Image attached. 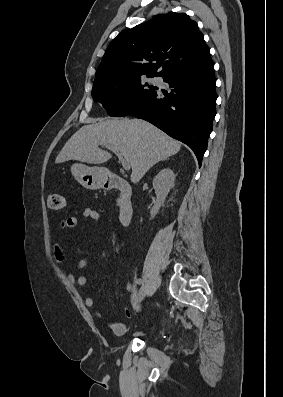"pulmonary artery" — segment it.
Masks as SVG:
<instances>
[{
  "instance_id": "obj_1",
  "label": "pulmonary artery",
  "mask_w": 283,
  "mask_h": 397,
  "mask_svg": "<svg viewBox=\"0 0 283 397\" xmlns=\"http://www.w3.org/2000/svg\"><path fill=\"white\" fill-rule=\"evenodd\" d=\"M154 82H155V83H159V80H158V79H155Z\"/></svg>"
}]
</instances>
